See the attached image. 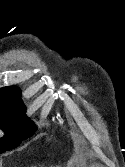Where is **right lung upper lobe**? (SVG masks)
<instances>
[{
  "mask_svg": "<svg viewBox=\"0 0 125 167\" xmlns=\"http://www.w3.org/2000/svg\"><path fill=\"white\" fill-rule=\"evenodd\" d=\"M21 90L16 86H8L0 89V98L10 100H20Z\"/></svg>",
  "mask_w": 125,
  "mask_h": 167,
  "instance_id": "right-lung-upper-lobe-1",
  "label": "right lung upper lobe"
}]
</instances>
